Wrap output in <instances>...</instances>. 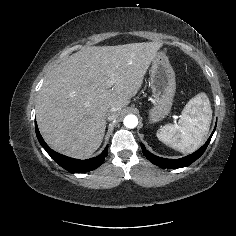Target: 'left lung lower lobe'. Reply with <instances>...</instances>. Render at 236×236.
Masks as SVG:
<instances>
[{
	"instance_id": "0a47b994",
	"label": "left lung lower lobe",
	"mask_w": 236,
	"mask_h": 236,
	"mask_svg": "<svg viewBox=\"0 0 236 236\" xmlns=\"http://www.w3.org/2000/svg\"><path fill=\"white\" fill-rule=\"evenodd\" d=\"M215 129L216 127L214 128V131ZM214 131L212 132L211 136L208 138L206 143L201 148H199L194 153L180 159H166L153 155L146 150L145 146L142 143H141V148L146 158L157 166H160L162 168H182L192 164L204 153L208 144L210 143Z\"/></svg>"
}]
</instances>
